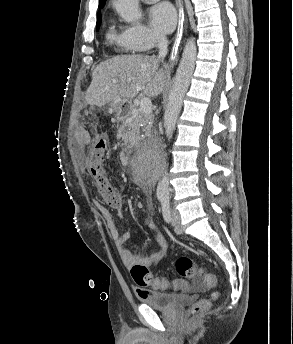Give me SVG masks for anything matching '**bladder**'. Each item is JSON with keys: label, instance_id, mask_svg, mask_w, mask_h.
<instances>
[{"label": "bladder", "instance_id": "31cf9c89", "mask_svg": "<svg viewBox=\"0 0 293 344\" xmlns=\"http://www.w3.org/2000/svg\"><path fill=\"white\" fill-rule=\"evenodd\" d=\"M142 303L159 310H173L178 305L188 302L187 296L161 291H147L140 297Z\"/></svg>", "mask_w": 293, "mask_h": 344}]
</instances>
